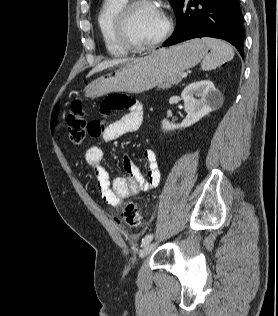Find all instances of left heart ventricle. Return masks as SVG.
Returning a JSON list of instances; mask_svg holds the SVG:
<instances>
[{"label":"left heart ventricle","instance_id":"left-heart-ventricle-1","mask_svg":"<svg viewBox=\"0 0 278 316\" xmlns=\"http://www.w3.org/2000/svg\"><path fill=\"white\" fill-rule=\"evenodd\" d=\"M165 28L164 17L158 7L141 5L129 20V32L134 42L145 44L158 38Z\"/></svg>","mask_w":278,"mask_h":316}]
</instances>
